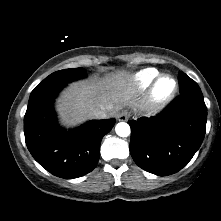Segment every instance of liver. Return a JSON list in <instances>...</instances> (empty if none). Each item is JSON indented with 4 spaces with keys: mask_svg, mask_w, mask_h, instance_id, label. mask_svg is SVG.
<instances>
[{
    "mask_svg": "<svg viewBox=\"0 0 221 221\" xmlns=\"http://www.w3.org/2000/svg\"><path fill=\"white\" fill-rule=\"evenodd\" d=\"M127 74L118 72L99 81H81L68 87L57 101L56 109L61 122L75 126L92 119L94 110H104L107 117H113L130 101Z\"/></svg>",
    "mask_w": 221,
    "mask_h": 221,
    "instance_id": "1",
    "label": "liver"
}]
</instances>
